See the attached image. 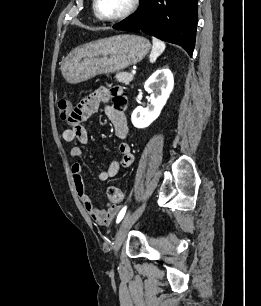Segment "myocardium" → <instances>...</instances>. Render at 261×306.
<instances>
[{
  "instance_id": "1",
  "label": "myocardium",
  "mask_w": 261,
  "mask_h": 306,
  "mask_svg": "<svg viewBox=\"0 0 261 306\" xmlns=\"http://www.w3.org/2000/svg\"><path fill=\"white\" fill-rule=\"evenodd\" d=\"M139 3H140V0H131L129 6L127 7V9L124 12H122L121 14L116 15V16L107 17V16L102 15L99 12L98 0H93V11H94L95 16L101 21L116 22V21L123 20V19L129 17L131 14H133L135 12V10L138 8Z\"/></svg>"
}]
</instances>
